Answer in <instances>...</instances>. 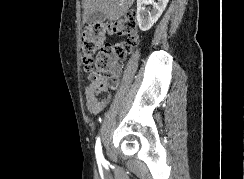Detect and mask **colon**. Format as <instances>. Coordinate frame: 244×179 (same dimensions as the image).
Listing matches in <instances>:
<instances>
[{
	"label": "colon",
	"mask_w": 244,
	"mask_h": 179,
	"mask_svg": "<svg viewBox=\"0 0 244 179\" xmlns=\"http://www.w3.org/2000/svg\"><path fill=\"white\" fill-rule=\"evenodd\" d=\"M125 38L116 44L104 43L107 33ZM137 38V26L132 17H126L112 23L88 25L81 32V52L83 71L90 86L99 90H113L117 80L111 75L113 64L126 58Z\"/></svg>",
	"instance_id": "obj_1"
}]
</instances>
